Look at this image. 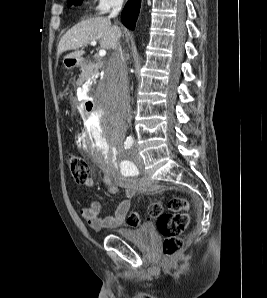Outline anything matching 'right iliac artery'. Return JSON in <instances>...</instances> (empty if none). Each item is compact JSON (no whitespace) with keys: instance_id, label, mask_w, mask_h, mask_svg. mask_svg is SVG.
<instances>
[{"instance_id":"right-iliac-artery-1","label":"right iliac artery","mask_w":267,"mask_h":298,"mask_svg":"<svg viewBox=\"0 0 267 298\" xmlns=\"http://www.w3.org/2000/svg\"><path fill=\"white\" fill-rule=\"evenodd\" d=\"M133 142H134V140H133V138L132 137H127V139H126V141H125V143H124V147H125V149H130L131 148V146L133 145Z\"/></svg>"}]
</instances>
